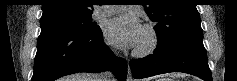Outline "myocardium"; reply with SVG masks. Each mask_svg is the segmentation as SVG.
<instances>
[{"label": "myocardium", "instance_id": "1", "mask_svg": "<svg viewBox=\"0 0 237 81\" xmlns=\"http://www.w3.org/2000/svg\"><path fill=\"white\" fill-rule=\"evenodd\" d=\"M143 31L148 37V43L141 49H134L133 55L138 58H144L151 55L159 46V35L153 26L146 24L143 27Z\"/></svg>", "mask_w": 237, "mask_h": 81}]
</instances>
